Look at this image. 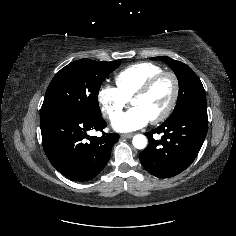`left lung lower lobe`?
I'll list each match as a JSON object with an SVG mask.
<instances>
[{"mask_svg": "<svg viewBox=\"0 0 236 236\" xmlns=\"http://www.w3.org/2000/svg\"><path fill=\"white\" fill-rule=\"evenodd\" d=\"M208 128L206 106L188 109L178 117L165 121L146 132L149 144L139 154L144 168L158 178H170L185 170L194 161L204 142ZM154 133H163L154 140Z\"/></svg>", "mask_w": 236, "mask_h": 236, "instance_id": "1", "label": "left lung lower lobe"}]
</instances>
